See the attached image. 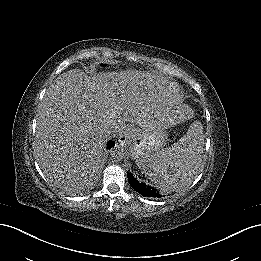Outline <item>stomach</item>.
Wrapping results in <instances>:
<instances>
[{
	"instance_id": "obj_1",
	"label": "stomach",
	"mask_w": 261,
	"mask_h": 261,
	"mask_svg": "<svg viewBox=\"0 0 261 261\" xmlns=\"http://www.w3.org/2000/svg\"><path fill=\"white\" fill-rule=\"evenodd\" d=\"M162 118H150L148 123L134 128L131 137L130 153L132 158L139 162L148 154L160 149L165 141V134L162 130Z\"/></svg>"
}]
</instances>
